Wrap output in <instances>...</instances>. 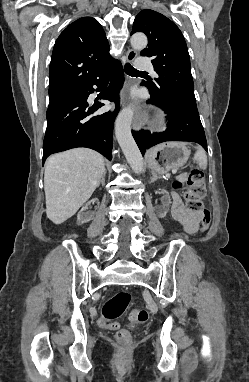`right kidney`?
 <instances>
[{"instance_id":"right-kidney-1","label":"right kidney","mask_w":249,"mask_h":382,"mask_svg":"<svg viewBox=\"0 0 249 382\" xmlns=\"http://www.w3.org/2000/svg\"><path fill=\"white\" fill-rule=\"evenodd\" d=\"M97 198H89L88 201L85 202L82 209L79 211L77 215V221L81 224L87 223L92 219V213L86 212L89 211L90 208H94L97 204Z\"/></svg>"}]
</instances>
